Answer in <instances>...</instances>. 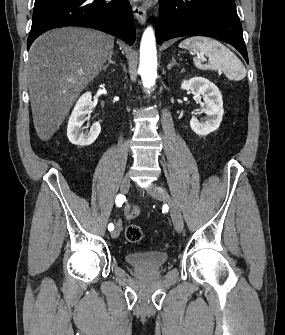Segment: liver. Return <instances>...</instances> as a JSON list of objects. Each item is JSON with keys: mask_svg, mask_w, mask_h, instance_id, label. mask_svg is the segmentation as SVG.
<instances>
[{"mask_svg": "<svg viewBox=\"0 0 285 335\" xmlns=\"http://www.w3.org/2000/svg\"><path fill=\"white\" fill-rule=\"evenodd\" d=\"M113 48V36L90 28H60L35 40L27 78L33 124L40 140L47 142L57 132Z\"/></svg>", "mask_w": 285, "mask_h": 335, "instance_id": "1", "label": "liver"}]
</instances>
